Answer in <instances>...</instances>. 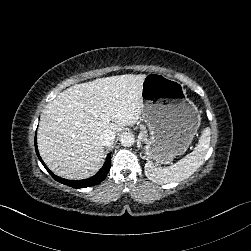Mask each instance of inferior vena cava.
I'll return each mask as SVG.
<instances>
[{
	"mask_svg": "<svg viewBox=\"0 0 251 251\" xmlns=\"http://www.w3.org/2000/svg\"><path fill=\"white\" fill-rule=\"evenodd\" d=\"M115 140V133L111 130H105L101 135V143L103 146H111Z\"/></svg>",
	"mask_w": 251,
	"mask_h": 251,
	"instance_id": "602c4592",
	"label": "inferior vena cava"
}]
</instances>
